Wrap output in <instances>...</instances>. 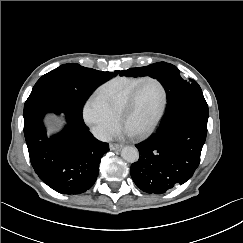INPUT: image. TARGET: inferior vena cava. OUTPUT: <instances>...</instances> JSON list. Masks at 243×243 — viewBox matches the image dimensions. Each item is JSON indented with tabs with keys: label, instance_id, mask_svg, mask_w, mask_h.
Wrapping results in <instances>:
<instances>
[{
	"label": "inferior vena cava",
	"instance_id": "inferior-vena-cava-1",
	"mask_svg": "<svg viewBox=\"0 0 243 243\" xmlns=\"http://www.w3.org/2000/svg\"><path fill=\"white\" fill-rule=\"evenodd\" d=\"M91 132L95 138L103 142H109L112 140V134L109 130L103 126L97 125L91 128Z\"/></svg>",
	"mask_w": 243,
	"mask_h": 243
}]
</instances>
